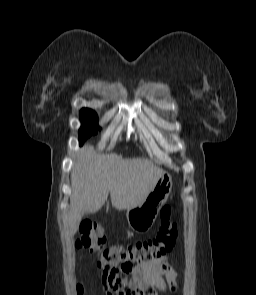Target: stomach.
<instances>
[{
    "mask_svg": "<svg viewBox=\"0 0 256 295\" xmlns=\"http://www.w3.org/2000/svg\"><path fill=\"white\" fill-rule=\"evenodd\" d=\"M171 190L172 178L163 173L144 202L134 208L127 209L126 218L130 228L135 232L150 230Z\"/></svg>",
    "mask_w": 256,
    "mask_h": 295,
    "instance_id": "0dacf381",
    "label": "stomach"
}]
</instances>
